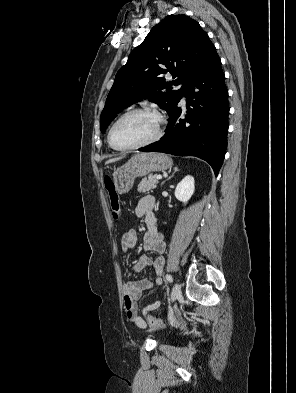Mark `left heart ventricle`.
<instances>
[{"label":"left heart ventricle","mask_w":296,"mask_h":393,"mask_svg":"<svg viewBox=\"0 0 296 393\" xmlns=\"http://www.w3.org/2000/svg\"><path fill=\"white\" fill-rule=\"evenodd\" d=\"M158 121L152 114L137 113L123 119L113 133L118 146H132L142 143L154 136Z\"/></svg>","instance_id":"left-heart-ventricle-1"}]
</instances>
